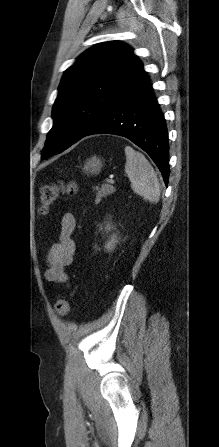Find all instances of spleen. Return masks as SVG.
<instances>
[{
	"label": "spleen",
	"instance_id": "obj_1",
	"mask_svg": "<svg viewBox=\"0 0 219 447\" xmlns=\"http://www.w3.org/2000/svg\"><path fill=\"white\" fill-rule=\"evenodd\" d=\"M125 155V173L131 181V188L145 200L157 203L160 197V184L153 167L142 153L131 147H125Z\"/></svg>",
	"mask_w": 219,
	"mask_h": 447
}]
</instances>
